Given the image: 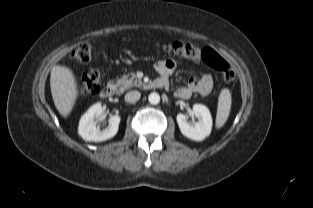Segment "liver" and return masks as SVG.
<instances>
[{
  "instance_id": "1",
  "label": "liver",
  "mask_w": 313,
  "mask_h": 208,
  "mask_svg": "<svg viewBox=\"0 0 313 208\" xmlns=\"http://www.w3.org/2000/svg\"><path fill=\"white\" fill-rule=\"evenodd\" d=\"M50 87L56 109L63 117H67L78 97L77 83L73 72L65 66H54L51 70Z\"/></svg>"
}]
</instances>
